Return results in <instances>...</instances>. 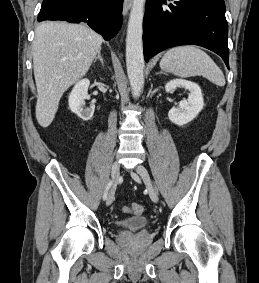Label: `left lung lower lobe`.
I'll use <instances>...</instances> for the list:
<instances>
[{"mask_svg":"<svg viewBox=\"0 0 259 283\" xmlns=\"http://www.w3.org/2000/svg\"><path fill=\"white\" fill-rule=\"evenodd\" d=\"M143 29L145 61L170 47L199 45L221 56L229 68L224 0H147Z\"/></svg>","mask_w":259,"mask_h":283,"instance_id":"0a47b994","label":"left lung lower lobe"}]
</instances>
